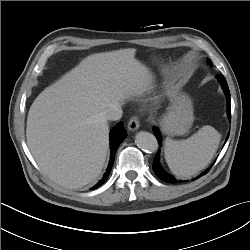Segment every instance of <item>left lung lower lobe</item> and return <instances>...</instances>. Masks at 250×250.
Listing matches in <instances>:
<instances>
[{
  "instance_id": "0a47b994",
  "label": "left lung lower lobe",
  "mask_w": 250,
  "mask_h": 250,
  "mask_svg": "<svg viewBox=\"0 0 250 250\" xmlns=\"http://www.w3.org/2000/svg\"><path fill=\"white\" fill-rule=\"evenodd\" d=\"M218 78V80L220 81L222 88L225 92V95L227 97V114L229 119H231V108H230V92H229V88L226 82V79L224 76L222 75H217L216 76ZM154 135L156 136V138L158 139V142L161 143V137H160V133L157 131L156 128L153 129ZM229 136V134H228ZM228 139V137H227ZM226 139V141H227ZM153 170L155 172V174L163 181L168 182V183H176V179L173 176H170L169 174H167L161 167L160 165V161H159V153H157L154 161H153ZM209 171V169H207L205 172H203L200 176H198L197 178L201 177L203 174H206ZM196 178V179H197ZM182 182V181H180Z\"/></svg>"
}]
</instances>
